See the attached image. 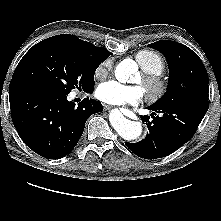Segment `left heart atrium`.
I'll list each match as a JSON object with an SVG mask.
<instances>
[{"label": "left heart atrium", "mask_w": 221, "mask_h": 221, "mask_svg": "<svg viewBox=\"0 0 221 221\" xmlns=\"http://www.w3.org/2000/svg\"><path fill=\"white\" fill-rule=\"evenodd\" d=\"M144 89L138 85H125L115 80L101 83L96 91L99 100L111 105H135L144 97Z\"/></svg>", "instance_id": "obj_1"}]
</instances>
